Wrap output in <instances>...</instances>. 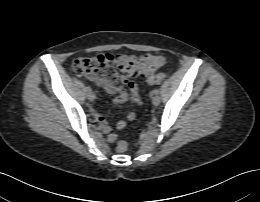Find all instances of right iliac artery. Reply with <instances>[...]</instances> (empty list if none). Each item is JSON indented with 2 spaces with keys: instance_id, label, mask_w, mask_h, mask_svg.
Here are the masks:
<instances>
[{
  "instance_id": "right-iliac-artery-1",
  "label": "right iliac artery",
  "mask_w": 260,
  "mask_h": 202,
  "mask_svg": "<svg viewBox=\"0 0 260 202\" xmlns=\"http://www.w3.org/2000/svg\"><path fill=\"white\" fill-rule=\"evenodd\" d=\"M86 90L88 93H90L92 91V89L90 87H87Z\"/></svg>"
}]
</instances>
